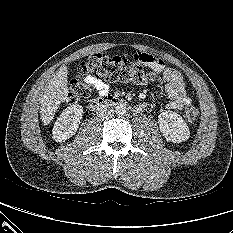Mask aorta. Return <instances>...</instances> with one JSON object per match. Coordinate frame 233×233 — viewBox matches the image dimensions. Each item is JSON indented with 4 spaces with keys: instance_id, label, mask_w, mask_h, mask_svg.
<instances>
[{
    "instance_id": "obj_1",
    "label": "aorta",
    "mask_w": 233,
    "mask_h": 233,
    "mask_svg": "<svg viewBox=\"0 0 233 233\" xmlns=\"http://www.w3.org/2000/svg\"><path fill=\"white\" fill-rule=\"evenodd\" d=\"M126 105L124 103H120L115 107V112L119 116H123L126 113Z\"/></svg>"
}]
</instances>
